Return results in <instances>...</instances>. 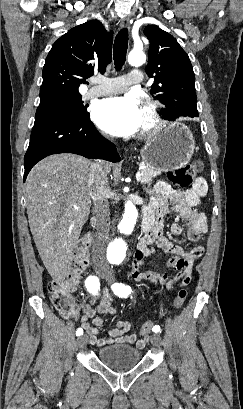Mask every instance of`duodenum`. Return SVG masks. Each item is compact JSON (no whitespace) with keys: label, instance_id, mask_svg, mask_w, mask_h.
Instances as JSON below:
<instances>
[{"label":"duodenum","instance_id":"obj_1","mask_svg":"<svg viewBox=\"0 0 243 409\" xmlns=\"http://www.w3.org/2000/svg\"><path fill=\"white\" fill-rule=\"evenodd\" d=\"M92 223L94 225L97 224V217L94 216L92 219ZM142 228L145 233V235H148L153 231L155 228V217L152 212L150 211H145L144 212V217H143V222H142Z\"/></svg>","mask_w":243,"mask_h":409}]
</instances>
